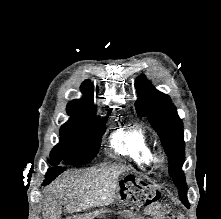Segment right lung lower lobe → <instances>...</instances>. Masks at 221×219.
Returning <instances> with one entry per match:
<instances>
[{
    "label": "right lung lower lobe",
    "instance_id": "1",
    "mask_svg": "<svg viewBox=\"0 0 221 219\" xmlns=\"http://www.w3.org/2000/svg\"><path fill=\"white\" fill-rule=\"evenodd\" d=\"M65 170L63 167H55L48 170L46 175V180L43 182V186L49 184L52 180H54L60 173Z\"/></svg>",
    "mask_w": 221,
    "mask_h": 219
}]
</instances>
